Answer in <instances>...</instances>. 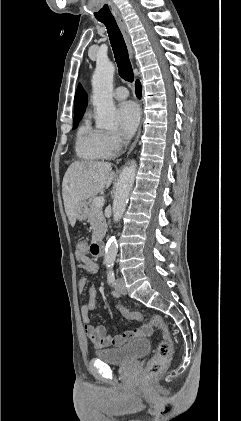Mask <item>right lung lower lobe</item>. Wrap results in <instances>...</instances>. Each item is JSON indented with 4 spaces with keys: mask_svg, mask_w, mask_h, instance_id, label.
<instances>
[{
    "mask_svg": "<svg viewBox=\"0 0 241 421\" xmlns=\"http://www.w3.org/2000/svg\"><path fill=\"white\" fill-rule=\"evenodd\" d=\"M135 86H136V95H137L138 98H140L141 97V85H140V82L139 81H136Z\"/></svg>",
    "mask_w": 241,
    "mask_h": 421,
    "instance_id": "1",
    "label": "right lung lower lobe"
}]
</instances>
